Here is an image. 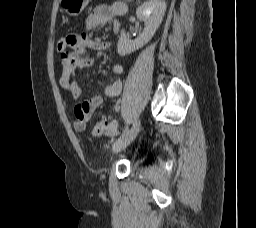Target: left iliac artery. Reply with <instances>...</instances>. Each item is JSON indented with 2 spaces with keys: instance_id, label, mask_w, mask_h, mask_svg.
Listing matches in <instances>:
<instances>
[{
  "instance_id": "44dca946",
  "label": "left iliac artery",
  "mask_w": 256,
  "mask_h": 228,
  "mask_svg": "<svg viewBox=\"0 0 256 228\" xmlns=\"http://www.w3.org/2000/svg\"><path fill=\"white\" fill-rule=\"evenodd\" d=\"M127 131H128V126L124 128L123 133L120 135V137L117 140H119Z\"/></svg>"
}]
</instances>
